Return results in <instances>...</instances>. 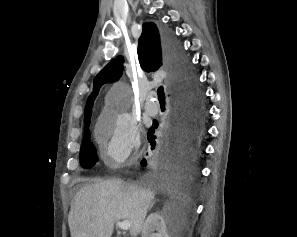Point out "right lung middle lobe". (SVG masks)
Returning a JSON list of instances; mask_svg holds the SVG:
<instances>
[{"label":"right lung middle lobe","mask_w":297,"mask_h":237,"mask_svg":"<svg viewBox=\"0 0 297 237\" xmlns=\"http://www.w3.org/2000/svg\"><path fill=\"white\" fill-rule=\"evenodd\" d=\"M88 126L85 127L84 141L80 150L81 165L85 168L92 167L97 161L96 149L90 141V130Z\"/></svg>","instance_id":"1"}]
</instances>
